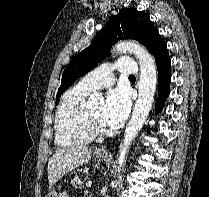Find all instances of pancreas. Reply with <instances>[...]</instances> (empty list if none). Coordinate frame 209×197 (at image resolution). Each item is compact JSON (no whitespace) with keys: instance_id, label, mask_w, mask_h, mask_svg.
I'll return each instance as SVG.
<instances>
[{"instance_id":"cf45deb5","label":"pancreas","mask_w":209,"mask_h":197,"mask_svg":"<svg viewBox=\"0 0 209 197\" xmlns=\"http://www.w3.org/2000/svg\"><path fill=\"white\" fill-rule=\"evenodd\" d=\"M81 179H80V176L79 175H75L73 177V179L71 180V185L73 188H79L81 187Z\"/></svg>"}]
</instances>
